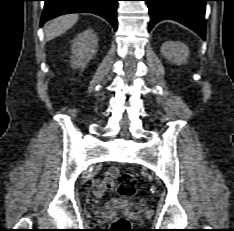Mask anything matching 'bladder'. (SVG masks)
<instances>
[{
    "instance_id": "31cf9c89",
    "label": "bladder",
    "mask_w": 234,
    "mask_h": 231,
    "mask_svg": "<svg viewBox=\"0 0 234 231\" xmlns=\"http://www.w3.org/2000/svg\"><path fill=\"white\" fill-rule=\"evenodd\" d=\"M136 203L130 202V201H120V202H108L106 204L107 208L112 207H123V208H129V207H135Z\"/></svg>"
}]
</instances>
